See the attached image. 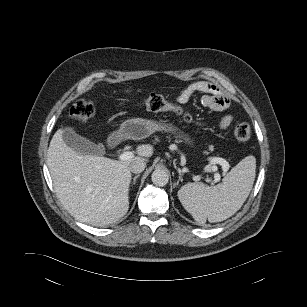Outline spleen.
<instances>
[{
	"instance_id": "spleen-1",
	"label": "spleen",
	"mask_w": 307,
	"mask_h": 307,
	"mask_svg": "<svg viewBox=\"0 0 307 307\" xmlns=\"http://www.w3.org/2000/svg\"><path fill=\"white\" fill-rule=\"evenodd\" d=\"M255 175L256 158L250 155L233 167L221 184L209 187L187 183L178 191V198L198 223L220 222L241 208L253 187Z\"/></svg>"
}]
</instances>
